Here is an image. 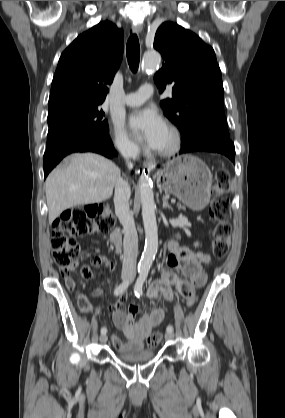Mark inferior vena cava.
<instances>
[{"label": "inferior vena cava", "instance_id": "602c4592", "mask_svg": "<svg viewBox=\"0 0 285 418\" xmlns=\"http://www.w3.org/2000/svg\"><path fill=\"white\" fill-rule=\"evenodd\" d=\"M118 149L126 160L128 168H132L131 160L136 159L138 156V148L132 144L124 143L120 144ZM130 195L129 184L120 178L115 184L114 206L115 213L124 229L122 274L128 276H132L135 273L138 255V235L134 217L129 209Z\"/></svg>", "mask_w": 285, "mask_h": 418}]
</instances>
